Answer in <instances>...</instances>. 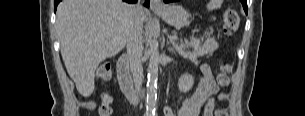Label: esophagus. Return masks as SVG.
<instances>
[{
    "mask_svg": "<svg viewBox=\"0 0 305 116\" xmlns=\"http://www.w3.org/2000/svg\"><path fill=\"white\" fill-rule=\"evenodd\" d=\"M150 8L152 10H160L163 8L162 2L160 0H150Z\"/></svg>",
    "mask_w": 305,
    "mask_h": 116,
    "instance_id": "esophagus-1",
    "label": "esophagus"
}]
</instances>
